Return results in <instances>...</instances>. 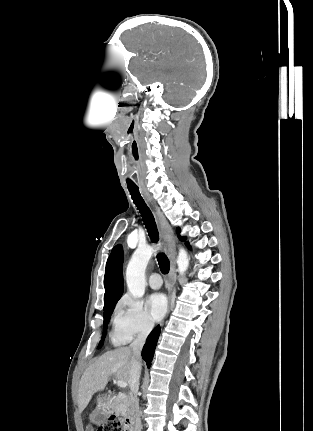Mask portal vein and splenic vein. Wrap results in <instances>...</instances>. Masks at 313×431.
Returning <instances> with one entry per match:
<instances>
[{
  "label": "portal vein and splenic vein",
  "instance_id": "obj_1",
  "mask_svg": "<svg viewBox=\"0 0 313 431\" xmlns=\"http://www.w3.org/2000/svg\"><path fill=\"white\" fill-rule=\"evenodd\" d=\"M117 385H118V387H120V388H126V387H127V382L122 381V380H118V381H117Z\"/></svg>",
  "mask_w": 313,
  "mask_h": 431
}]
</instances>
